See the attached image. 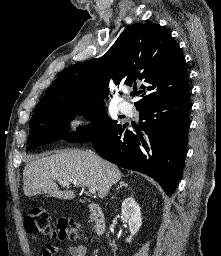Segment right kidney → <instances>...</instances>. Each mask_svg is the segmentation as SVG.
Segmentation results:
<instances>
[{"instance_id": "ca27d5eb", "label": "right kidney", "mask_w": 221, "mask_h": 256, "mask_svg": "<svg viewBox=\"0 0 221 256\" xmlns=\"http://www.w3.org/2000/svg\"><path fill=\"white\" fill-rule=\"evenodd\" d=\"M121 214L128 220L131 235L126 239L130 243L142 225L141 211L134 198L128 197L122 203ZM114 244V242H113Z\"/></svg>"}]
</instances>
